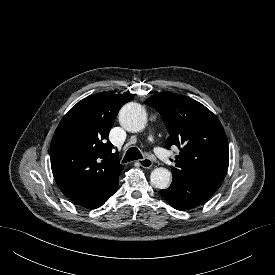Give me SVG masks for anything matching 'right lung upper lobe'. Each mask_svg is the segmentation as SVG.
I'll return each instance as SVG.
<instances>
[{"label":"right lung upper lobe","mask_w":275,"mask_h":275,"mask_svg":"<svg viewBox=\"0 0 275 275\" xmlns=\"http://www.w3.org/2000/svg\"><path fill=\"white\" fill-rule=\"evenodd\" d=\"M132 94L92 95L61 120L50 147L53 176L66 197L110 185L121 173L108 134L119 109Z\"/></svg>","instance_id":"right-lung-upper-lobe-1"}]
</instances>
